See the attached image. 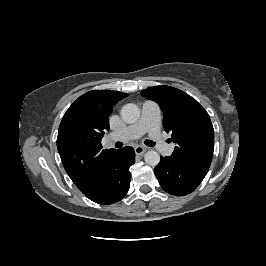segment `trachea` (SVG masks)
Returning <instances> with one entry per match:
<instances>
[{"instance_id": "1", "label": "trachea", "mask_w": 266, "mask_h": 266, "mask_svg": "<svg viewBox=\"0 0 266 266\" xmlns=\"http://www.w3.org/2000/svg\"><path fill=\"white\" fill-rule=\"evenodd\" d=\"M144 143H145V145H147V146H149V147H153V146H155V143H154L152 140H145ZM115 146H116L117 148H120V147H122V143H121V142H117V143L115 144Z\"/></svg>"}]
</instances>
